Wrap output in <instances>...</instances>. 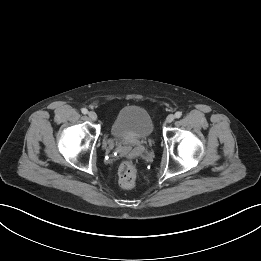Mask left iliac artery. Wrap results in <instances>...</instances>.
I'll use <instances>...</instances> for the list:
<instances>
[{
    "label": "left iliac artery",
    "mask_w": 261,
    "mask_h": 261,
    "mask_svg": "<svg viewBox=\"0 0 261 261\" xmlns=\"http://www.w3.org/2000/svg\"><path fill=\"white\" fill-rule=\"evenodd\" d=\"M182 116V113L180 111L176 112L175 113V117L176 118H180Z\"/></svg>",
    "instance_id": "obj_1"
}]
</instances>
